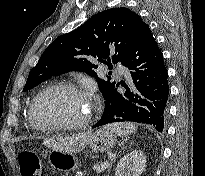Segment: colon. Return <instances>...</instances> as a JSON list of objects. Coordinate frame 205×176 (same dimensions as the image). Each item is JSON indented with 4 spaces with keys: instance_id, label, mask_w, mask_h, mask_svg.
<instances>
[{
    "instance_id": "5ec220e1",
    "label": "colon",
    "mask_w": 205,
    "mask_h": 176,
    "mask_svg": "<svg viewBox=\"0 0 205 176\" xmlns=\"http://www.w3.org/2000/svg\"><path fill=\"white\" fill-rule=\"evenodd\" d=\"M17 162L21 176H43V163L34 152L21 151L17 156Z\"/></svg>"
}]
</instances>
